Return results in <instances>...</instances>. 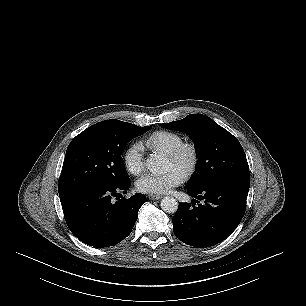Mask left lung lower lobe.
I'll return each mask as SVG.
<instances>
[{
	"mask_svg": "<svg viewBox=\"0 0 306 306\" xmlns=\"http://www.w3.org/2000/svg\"><path fill=\"white\" fill-rule=\"evenodd\" d=\"M250 181L220 180L190 188L188 194L204 200L181 203L172 219L173 231L182 242L199 248L216 245L238 226L245 213Z\"/></svg>",
	"mask_w": 306,
	"mask_h": 306,
	"instance_id": "1",
	"label": "left lung lower lobe"
}]
</instances>
